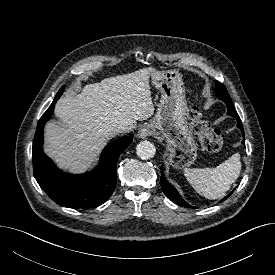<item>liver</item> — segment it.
Segmentation results:
<instances>
[{"instance_id":"1","label":"liver","mask_w":275,"mask_h":275,"mask_svg":"<svg viewBox=\"0 0 275 275\" xmlns=\"http://www.w3.org/2000/svg\"><path fill=\"white\" fill-rule=\"evenodd\" d=\"M148 67L87 84L79 94L66 95L55 106L62 122L45 126L44 150L64 170L89 168L120 125L130 131L154 113Z\"/></svg>"}]
</instances>
